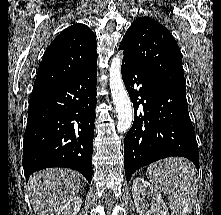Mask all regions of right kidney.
Returning a JSON list of instances; mask_svg holds the SVG:
<instances>
[{"label": "right kidney", "mask_w": 221, "mask_h": 215, "mask_svg": "<svg viewBox=\"0 0 221 215\" xmlns=\"http://www.w3.org/2000/svg\"><path fill=\"white\" fill-rule=\"evenodd\" d=\"M81 205L82 199L78 196H74L58 210L56 215H77Z\"/></svg>", "instance_id": "1"}]
</instances>
